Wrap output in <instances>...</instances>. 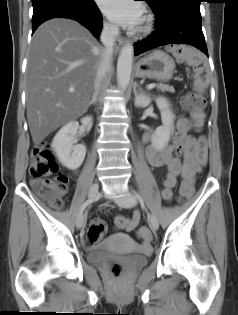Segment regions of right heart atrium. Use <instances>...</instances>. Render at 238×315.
<instances>
[{
  "label": "right heart atrium",
  "instance_id": "obj_1",
  "mask_svg": "<svg viewBox=\"0 0 238 315\" xmlns=\"http://www.w3.org/2000/svg\"><path fill=\"white\" fill-rule=\"evenodd\" d=\"M104 29L108 32V33H113L114 32V27L113 25H111L110 23H105L104 24Z\"/></svg>",
  "mask_w": 238,
  "mask_h": 315
}]
</instances>
